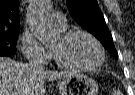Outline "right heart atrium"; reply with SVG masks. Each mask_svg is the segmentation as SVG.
<instances>
[{"label": "right heart atrium", "instance_id": "1", "mask_svg": "<svg viewBox=\"0 0 135 95\" xmlns=\"http://www.w3.org/2000/svg\"><path fill=\"white\" fill-rule=\"evenodd\" d=\"M20 48L24 56L30 60L47 61L49 50L43 46L31 33L25 31L20 36Z\"/></svg>", "mask_w": 135, "mask_h": 95}]
</instances>
